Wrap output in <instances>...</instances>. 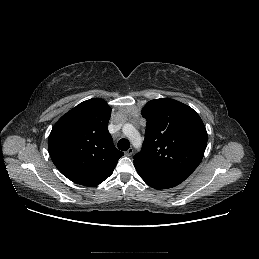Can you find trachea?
I'll use <instances>...</instances> for the list:
<instances>
[{
  "instance_id": "3493384b",
  "label": "trachea",
  "mask_w": 259,
  "mask_h": 259,
  "mask_svg": "<svg viewBox=\"0 0 259 259\" xmlns=\"http://www.w3.org/2000/svg\"><path fill=\"white\" fill-rule=\"evenodd\" d=\"M117 146L120 150L127 151L130 147V142L127 139H120Z\"/></svg>"
}]
</instances>
